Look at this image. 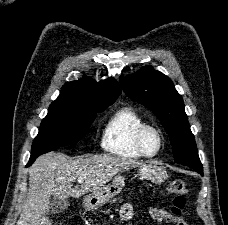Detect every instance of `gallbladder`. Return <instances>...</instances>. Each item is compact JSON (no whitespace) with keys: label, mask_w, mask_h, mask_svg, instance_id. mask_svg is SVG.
<instances>
[{"label":"gallbladder","mask_w":228,"mask_h":225,"mask_svg":"<svg viewBox=\"0 0 228 225\" xmlns=\"http://www.w3.org/2000/svg\"><path fill=\"white\" fill-rule=\"evenodd\" d=\"M50 211L49 215H55V213H64L68 207H70L69 199H58V197H54L50 203Z\"/></svg>","instance_id":"obj_1"}]
</instances>
